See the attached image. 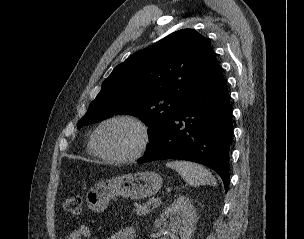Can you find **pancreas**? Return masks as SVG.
I'll return each mask as SVG.
<instances>
[{"instance_id": "cf45deb5", "label": "pancreas", "mask_w": 304, "mask_h": 239, "mask_svg": "<svg viewBox=\"0 0 304 239\" xmlns=\"http://www.w3.org/2000/svg\"><path fill=\"white\" fill-rule=\"evenodd\" d=\"M151 208H150V204H139L136 206L135 208V212L137 214V216H145L146 214L151 212Z\"/></svg>"}]
</instances>
